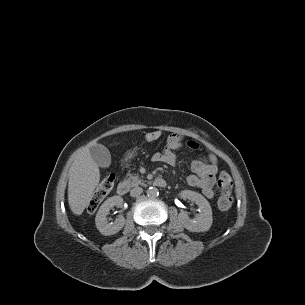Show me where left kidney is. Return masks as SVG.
I'll return each mask as SVG.
<instances>
[{
  "instance_id": "left-kidney-1",
  "label": "left kidney",
  "mask_w": 305,
  "mask_h": 305,
  "mask_svg": "<svg viewBox=\"0 0 305 305\" xmlns=\"http://www.w3.org/2000/svg\"><path fill=\"white\" fill-rule=\"evenodd\" d=\"M182 199H188L198 205L200 212L190 219L187 212H180L178 215L179 223L190 232H206L210 229L213 218L212 209L207 199L194 191L183 190L180 192Z\"/></svg>"
}]
</instances>
